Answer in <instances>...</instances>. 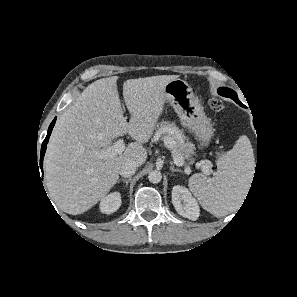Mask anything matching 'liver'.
<instances>
[{
    "instance_id": "liver-1",
    "label": "liver",
    "mask_w": 297,
    "mask_h": 297,
    "mask_svg": "<svg viewBox=\"0 0 297 297\" xmlns=\"http://www.w3.org/2000/svg\"><path fill=\"white\" fill-rule=\"evenodd\" d=\"M176 75L129 79L123 98L130 121L121 107L117 76L90 84L57 120L47 147L44 167L51 200L62 211L78 215L102 200L119 178L126 161L141 166L147 158L143 146L152 137L164 109V87ZM128 133L135 142L124 152L102 158L114 138Z\"/></svg>"
}]
</instances>
